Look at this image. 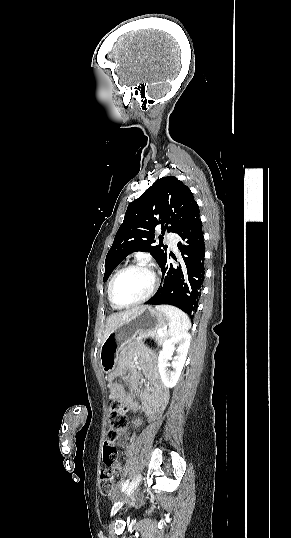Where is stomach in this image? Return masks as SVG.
Here are the masks:
<instances>
[{
    "label": "stomach",
    "instance_id": "stomach-1",
    "mask_svg": "<svg viewBox=\"0 0 291 538\" xmlns=\"http://www.w3.org/2000/svg\"><path fill=\"white\" fill-rule=\"evenodd\" d=\"M167 317L163 312L150 306L143 307L134 313L127 322L117 327L103 341L100 348V365L103 372L117 367L118 353L126 344L131 343L138 334L156 332L166 325Z\"/></svg>",
    "mask_w": 291,
    "mask_h": 538
}]
</instances>
